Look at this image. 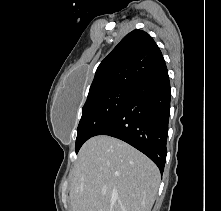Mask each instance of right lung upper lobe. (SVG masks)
I'll use <instances>...</instances> for the list:
<instances>
[{"label": "right lung upper lobe", "mask_w": 221, "mask_h": 211, "mask_svg": "<svg viewBox=\"0 0 221 211\" xmlns=\"http://www.w3.org/2000/svg\"><path fill=\"white\" fill-rule=\"evenodd\" d=\"M168 73L159 47L144 31L127 34L96 70L87 99L117 88H134Z\"/></svg>", "instance_id": "1"}]
</instances>
